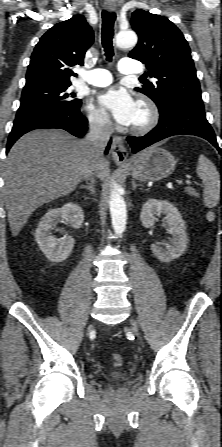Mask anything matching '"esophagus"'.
<instances>
[{
    "label": "esophagus",
    "mask_w": 222,
    "mask_h": 447,
    "mask_svg": "<svg viewBox=\"0 0 222 447\" xmlns=\"http://www.w3.org/2000/svg\"><path fill=\"white\" fill-rule=\"evenodd\" d=\"M104 6L109 12L115 11V4L113 0H106ZM111 153L117 164H122L126 161L128 152L124 146L123 138L121 136H115L113 138Z\"/></svg>",
    "instance_id": "34e87169"
}]
</instances>
